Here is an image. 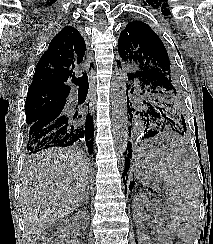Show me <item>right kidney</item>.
<instances>
[{"instance_id": "ca27d5eb", "label": "right kidney", "mask_w": 213, "mask_h": 244, "mask_svg": "<svg viewBox=\"0 0 213 244\" xmlns=\"http://www.w3.org/2000/svg\"><path fill=\"white\" fill-rule=\"evenodd\" d=\"M74 220L78 223H80L82 226H85L86 225V215L85 213L83 214H77L75 217H74Z\"/></svg>"}]
</instances>
